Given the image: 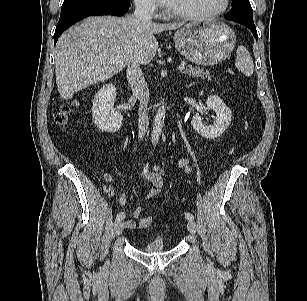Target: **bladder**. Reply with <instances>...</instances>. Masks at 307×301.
<instances>
[{
    "mask_svg": "<svg viewBox=\"0 0 307 301\" xmlns=\"http://www.w3.org/2000/svg\"><path fill=\"white\" fill-rule=\"evenodd\" d=\"M166 250L165 239L161 236L155 237L147 241L142 246V251L145 253H160Z\"/></svg>",
    "mask_w": 307,
    "mask_h": 301,
    "instance_id": "1",
    "label": "bladder"
}]
</instances>
